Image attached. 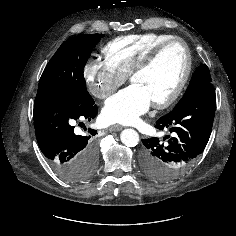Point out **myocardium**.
Listing matches in <instances>:
<instances>
[{"label": "myocardium", "instance_id": "myocardium-1", "mask_svg": "<svg viewBox=\"0 0 236 236\" xmlns=\"http://www.w3.org/2000/svg\"><path fill=\"white\" fill-rule=\"evenodd\" d=\"M174 43L180 44L184 50L185 69L181 79L179 80L173 91L166 98L153 102V107L157 109H164L172 105L179 98L190 78L192 70V58L187 43L179 37H172L159 43L137 65H135L129 73V80H132L134 76L150 68L159 57V55L163 52V50Z\"/></svg>", "mask_w": 236, "mask_h": 236}]
</instances>
